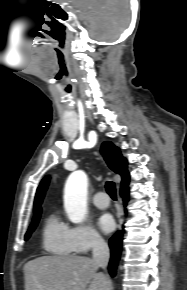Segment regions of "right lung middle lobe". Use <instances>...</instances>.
<instances>
[{
  "instance_id": "right-lung-middle-lobe-1",
  "label": "right lung middle lobe",
  "mask_w": 187,
  "mask_h": 290,
  "mask_svg": "<svg viewBox=\"0 0 187 290\" xmlns=\"http://www.w3.org/2000/svg\"><path fill=\"white\" fill-rule=\"evenodd\" d=\"M39 219H40V215H38L33 221H32V224L30 225L29 229H28V232L26 233L25 235V240H27L31 233L34 231V229L36 228L38 222H39Z\"/></svg>"
}]
</instances>
